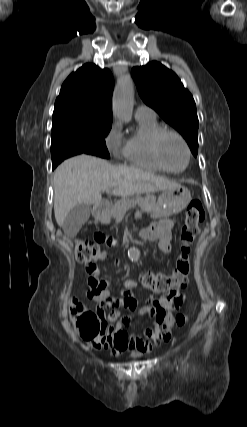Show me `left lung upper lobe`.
<instances>
[{
	"instance_id": "left-lung-upper-lobe-1",
	"label": "left lung upper lobe",
	"mask_w": 247,
	"mask_h": 427,
	"mask_svg": "<svg viewBox=\"0 0 247 427\" xmlns=\"http://www.w3.org/2000/svg\"><path fill=\"white\" fill-rule=\"evenodd\" d=\"M132 77L143 101L187 140L194 156L198 153V117L194 99L178 76L153 61L134 67Z\"/></svg>"
}]
</instances>
